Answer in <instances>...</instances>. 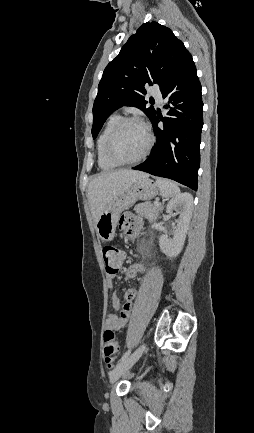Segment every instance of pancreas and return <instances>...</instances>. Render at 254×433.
<instances>
[{"label":"pancreas","instance_id":"pancreas-1","mask_svg":"<svg viewBox=\"0 0 254 433\" xmlns=\"http://www.w3.org/2000/svg\"><path fill=\"white\" fill-rule=\"evenodd\" d=\"M134 211L149 220H156L159 213L162 211V207L160 205L156 206L151 202H144L137 204L134 207Z\"/></svg>","mask_w":254,"mask_h":433}]
</instances>
